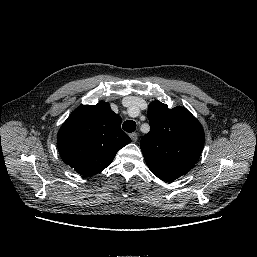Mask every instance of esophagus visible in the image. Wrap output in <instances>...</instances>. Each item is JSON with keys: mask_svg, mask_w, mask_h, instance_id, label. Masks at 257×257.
Returning <instances> with one entry per match:
<instances>
[{"mask_svg": "<svg viewBox=\"0 0 257 257\" xmlns=\"http://www.w3.org/2000/svg\"><path fill=\"white\" fill-rule=\"evenodd\" d=\"M130 138H131V140L133 141V142H136L137 141V139H138V134L137 133H130Z\"/></svg>", "mask_w": 257, "mask_h": 257, "instance_id": "34e87169", "label": "esophagus"}]
</instances>
